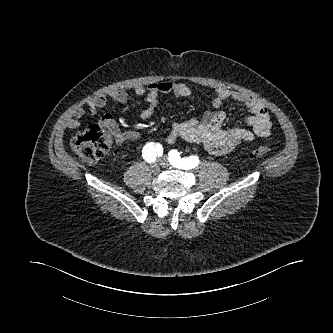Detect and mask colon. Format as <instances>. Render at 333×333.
<instances>
[{"label":"colon","mask_w":333,"mask_h":333,"mask_svg":"<svg viewBox=\"0 0 333 333\" xmlns=\"http://www.w3.org/2000/svg\"><path fill=\"white\" fill-rule=\"evenodd\" d=\"M112 145V134L109 130L98 124H92L87 129L72 138V149L86 163L100 161L110 150ZM268 146L260 145L248 150L251 157L258 158L270 154Z\"/></svg>","instance_id":"obj_1"}]
</instances>
